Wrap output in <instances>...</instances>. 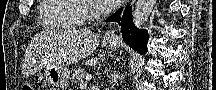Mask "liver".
<instances>
[{
    "instance_id": "1",
    "label": "liver",
    "mask_w": 216,
    "mask_h": 90,
    "mask_svg": "<svg viewBox=\"0 0 216 90\" xmlns=\"http://www.w3.org/2000/svg\"><path fill=\"white\" fill-rule=\"evenodd\" d=\"M99 44L98 34L90 30H67L65 34V46L67 52V64H77L84 60L91 52H94Z\"/></svg>"
}]
</instances>
